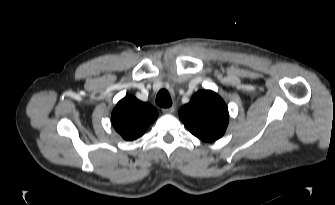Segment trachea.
<instances>
[{
    "instance_id": "1",
    "label": "trachea",
    "mask_w": 335,
    "mask_h": 205,
    "mask_svg": "<svg viewBox=\"0 0 335 205\" xmlns=\"http://www.w3.org/2000/svg\"><path fill=\"white\" fill-rule=\"evenodd\" d=\"M157 105L168 108L172 106V100L167 90L161 89L156 96Z\"/></svg>"
}]
</instances>
